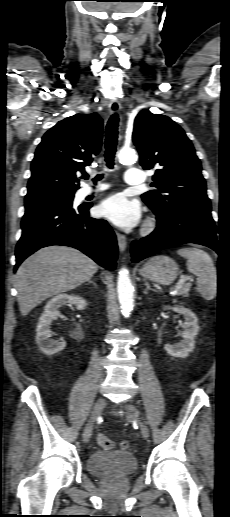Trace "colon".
<instances>
[{"mask_svg": "<svg viewBox=\"0 0 230 517\" xmlns=\"http://www.w3.org/2000/svg\"><path fill=\"white\" fill-rule=\"evenodd\" d=\"M98 444L103 449H111L114 446V443L111 439H109L107 436L100 434L98 436ZM129 442L128 441H121L119 444L120 449L127 450L129 449Z\"/></svg>", "mask_w": 230, "mask_h": 517, "instance_id": "colon-1", "label": "colon"}]
</instances>
